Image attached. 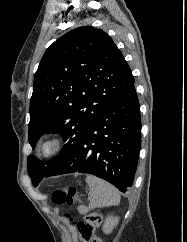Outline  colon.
<instances>
[{
  "label": "colon",
  "mask_w": 187,
  "mask_h": 242,
  "mask_svg": "<svg viewBox=\"0 0 187 242\" xmlns=\"http://www.w3.org/2000/svg\"><path fill=\"white\" fill-rule=\"evenodd\" d=\"M52 201L55 204L72 205L79 201V197L74 187L62 186L52 193ZM102 217L98 213H88L76 223L80 242H101L95 237V232L100 225Z\"/></svg>",
  "instance_id": "5ec220e1"
}]
</instances>
